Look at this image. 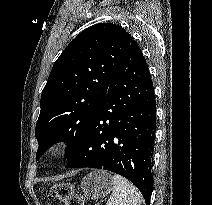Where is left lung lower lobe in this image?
<instances>
[{"instance_id": "left-lung-lower-lobe-1", "label": "left lung lower lobe", "mask_w": 212, "mask_h": 205, "mask_svg": "<svg viewBox=\"0 0 212 205\" xmlns=\"http://www.w3.org/2000/svg\"><path fill=\"white\" fill-rule=\"evenodd\" d=\"M156 131L154 87L143 54L132 41L116 68L86 136L66 168H99L129 179L150 205Z\"/></svg>"}]
</instances>
